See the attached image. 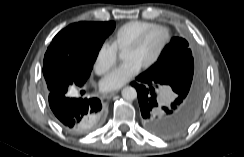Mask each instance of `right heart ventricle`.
<instances>
[{
    "label": "right heart ventricle",
    "instance_id": "obj_1",
    "mask_svg": "<svg viewBox=\"0 0 244 157\" xmlns=\"http://www.w3.org/2000/svg\"><path fill=\"white\" fill-rule=\"evenodd\" d=\"M155 25L152 22L142 20L128 21L114 32L113 44L117 50L123 51L140 33Z\"/></svg>",
    "mask_w": 244,
    "mask_h": 157
}]
</instances>
